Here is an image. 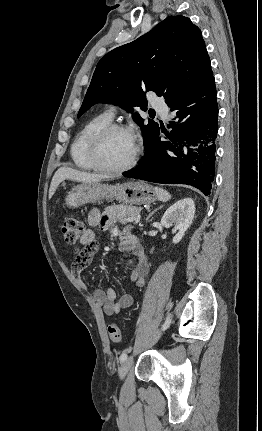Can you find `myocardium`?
I'll return each instance as SVG.
<instances>
[{
	"label": "myocardium",
	"instance_id": "f54148a6",
	"mask_svg": "<svg viewBox=\"0 0 262 431\" xmlns=\"http://www.w3.org/2000/svg\"><path fill=\"white\" fill-rule=\"evenodd\" d=\"M115 132H125L128 133L130 135H132L135 139V149L133 152L132 157L130 158V160L120 166V167H111L109 165H107L102 157V147H103V143L105 141V139L112 133ZM141 144L138 141L134 131L132 130V128H130L127 125L124 124H118V123H110L107 126L103 127L102 129H100L92 138L91 144H90V159L92 161V163L94 164V166L97 168V170L105 172V173H109V174H120L123 173L131 168H133L138 159L139 156L141 154Z\"/></svg>",
	"mask_w": 262,
	"mask_h": 431
}]
</instances>
